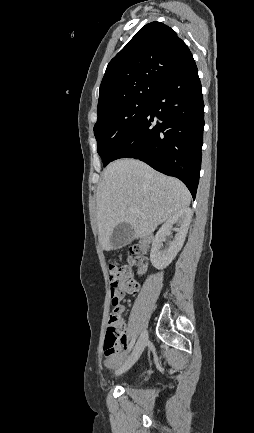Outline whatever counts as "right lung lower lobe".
<instances>
[{
    "instance_id": "right-lung-lower-lobe-1",
    "label": "right lung lower lobe",
    "mask_w": 254,
    "mask_h": 433,
    "mask_svg": "<svg viewBox=\"0 0 254 433\" xmlns=\"http://www.w3.org/2000/svg\"><path fill=\"white\" fill-rule=\"evenodd\" d=\"M204 103L195 61L169 78L115 151L180 179L195 199L201 169Z\"/></svg>"
}]
</instances>
